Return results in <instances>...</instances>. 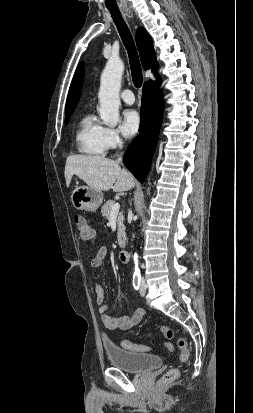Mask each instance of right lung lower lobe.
<instances>
[{
    "instance_id": "1",
    "label": "right lung lower lobe",
    "mask_w": 253,
    "mask_h": 413,
    "mask_svg": "<svg viewBox=\"0 0 253 413\" xmlns=\"http://www.w3.org/2000/svg\"><path fill=\"white\" fill-rule=\"evenodd\" d=\"M159 81L144 83L139 134L124 154V165L144 182L150 169L161 126L163 100Z\"/></svg>"
}]
</instances>
